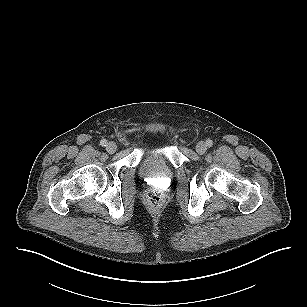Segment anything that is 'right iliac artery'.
<instances>
[{"mask_svg":"<svg viewBox=\"0 0 307 307\" xmlns=\"http://www.w3.org/2000/svg\"><path fill=\"white\" fill-rule=\"evenodd\" d=\"M100 145L101 146H106L107 145V141L105 139L100 141Z\"/></svg>","mask_w":307,"mask_h":307,"instance_id":"obj_1","label":"right iliac artery"}]
</instances>
